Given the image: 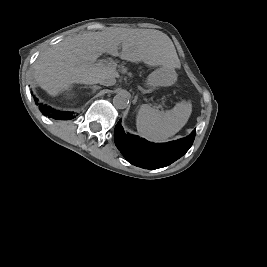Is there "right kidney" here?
<instances>
[{"mask_svg":"<svg viewBox=\"0 0 267 267\" xmlns=\"http://www.w3.org/2000/svg\"><path fill=\"white\" fill-rule=\"evenodd\" d=\"M65 95H66V97L69 98V97L74 96V93L72 91L68 90L67 92H65Z\"/></svg>","mask_w":267,"mask_h":267,"instance_id":"obj_1","label":"right kidney"}]
</instances>
